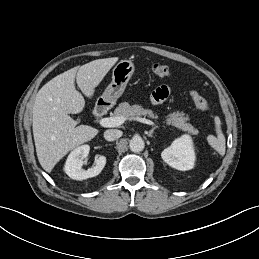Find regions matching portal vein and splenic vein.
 <instances>
[{"mask_svg": "<svg viewBox=\"0 0 259 259\" xmlns=\"http://www.w3.org/2000/svg\"><path fill=\"white\" fill-rule=\"evenodd\" d=\"M126 119L123 116H116V117H109V118H102L99 120V124L103 127H117L124 123ZM135 120L149 124L154 125V122L151 120H148L146 118L136 117Z\"/></svg>", "mask_w": 259, "mask_h": 259, "instance_id": "obj_1", "label": "portal vein and splenic vein"}]
</instances>
